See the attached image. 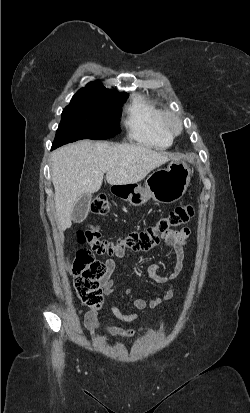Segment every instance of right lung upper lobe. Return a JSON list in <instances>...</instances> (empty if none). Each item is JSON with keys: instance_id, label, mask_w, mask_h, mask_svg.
<instances>
[{"instance_id": "1", "label": "right lung upper lobe", "mask_w": 250, "mask_h": 413, "mask_svg": "<svg viewBox=\"0 0 250 413\" xmlns=\"http://www.w3.org/2000/svg\"><path fill=\"white\" fill-rule=\"evenodd\" d=\"M79 91L100 93V94H106V95L117 96V97L128 96L127 93H117L113 90H108L98 81L87 84L86 87L81 88Z\"/></svg>"}]
</instances>
